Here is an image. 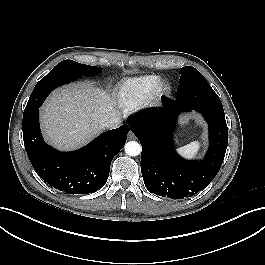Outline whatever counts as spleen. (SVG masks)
<instances>
[{"label": "spleen", "mask_w": 265, "mask_h": 265, "mask_svg": "<svg viewBox=\"0 0 265 265\" xmlns=\"http://www.w3.org/2000/svg\"><path fill=\"white\" fill-rule=\"evenodd\" d=\"M201 144L199 141H193L183 147L177 149V152L186 159H193L196 157L200 150Z\"/></svg>", "instance_id": "obj_1"}]
</instances>
